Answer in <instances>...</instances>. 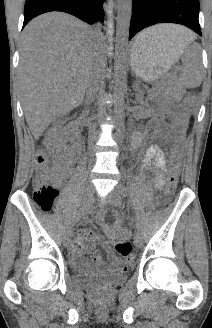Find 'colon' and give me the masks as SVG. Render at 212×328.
I'll return each mask as SVG.
<instances>
[{
	"label": "colon",
	"instance_id": "colon-1",
	"mask_svg": "<svg viewBox=\"0 0 212 328\" xmlns=\"http://www.w3.org/2000/svg\"><path fill=\"white\" fill-rule=\"evenodd\" d=\"M191 99L188 100V102ZM178 163L179 153L176 150L173 156V166L169 173L166 184V199L173 197L178 183ZM53 170L48 166L47 157L44 151H38L35 156V171L33 177V198L37 207L43 212H49L59 194L58 188L49 182L52 179ZM116 251L119 255L128 261L134 260L132 254V245L128 240H120L117 242Z\"/></svg>",
	"mask_w": 212,
	"mask_h": 328
}]
</instances>
